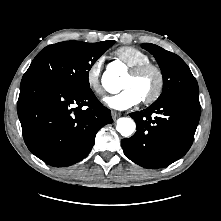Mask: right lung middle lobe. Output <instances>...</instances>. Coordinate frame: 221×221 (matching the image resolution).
Segmentation results:
<instances>
[{"instance_id":"dd1d6c3e","label":"right lung middle lobe","mask_w":221,"mask_h":221,"mask_svg":"<svg viewBox=\"0 0 221 221\" xmlns=\"http://www.w3.org/2000/svg\"><path fill=\"white\" fill-rule=\"evenodd\" d=\"M115 41H65L45 47L32 61L23 80L44 79L76 88H90L92 65Z\"/></svg>"}]
</instances>
